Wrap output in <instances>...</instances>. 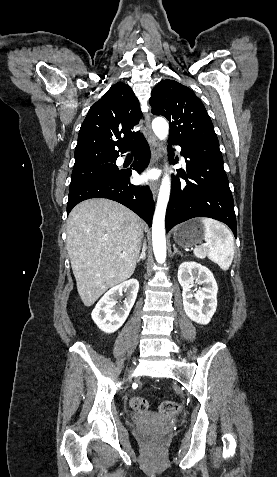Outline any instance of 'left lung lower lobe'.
I'll list each match as a JSON object with an SVG mask.
<instances>
[{"label":"left lung lower lobe","mask_w":277,"mask_h":477,"mask_svg":"<svg viewBox=\"0 0 277 477\" xmlns=\"http://www.w3.org/2000/svg\"><path fill=\"white\" fill-rule=\"evenodd\" d=\"M182 147L186 173L172 177L166 213V231L194 217H209L227 224L237 237L233 197L218 142L171 141Z\"/></svg>","instance_id":"left-lung-lower-lobe-1"}]
</instances>
